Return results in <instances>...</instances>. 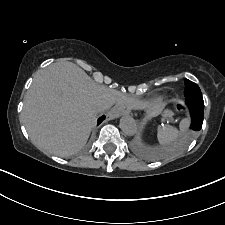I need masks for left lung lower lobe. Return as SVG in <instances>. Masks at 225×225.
Returning <instances> with one entry per match:
<instances>
[{
  "label": "left lung lower lobe",
  "mask_w": 225,
  "mask_h": 225,
  "mask_svg": "<svg viewBox=\"0 0 225 225\" xmlns=\"http://www.w3.org/2000/svg\"><path fill=\"white\" fill-rule=\"evenodd\" d=\"M186 105L191 114V126L193 131H199L203 123L204 101L199 99L186 100Z\"/></svg>",
  "instance_id": "obj_1"
}]
</instances>
